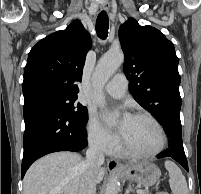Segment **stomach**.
<instances>
[{"label": "stomach", "instance_id": "0dacf381", "mask_svg": "<svg viewBox=\"0 0 201 194\" xmlns=\"http://www.w3.org/2000/svg\"><path fill=\"white\" fill-rule=\"evenodd\" d=\"M122 175L129 181L136 182L143 186H152L160 178V169L149 162H138L125 165Z\"/></svg>", "mask_w": 201, "mask_h": 194}]
</instances>
